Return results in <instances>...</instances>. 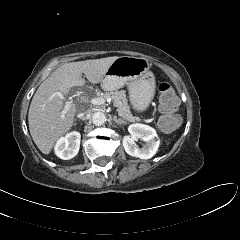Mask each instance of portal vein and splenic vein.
<instances>
[{
    "instance_id": "portal-vein-and-splenic-vein-1",
    "label": "portal vein and splenic vein",
    "mask_w": 240,
    "mask_h": 240,
    "mask_svg": "<svg viewBox=\"0 0 240 240\" xmlns=\"http://www.w3.org/2000/svg\"><path fill=\"white\" fill-rule=\"evenodd\" d=\"M55 95L59 96L61 99H64V96L62 93L60 92H56ZM110 102V99H107L105 100L104 98L102 97H95V98H92L90 100L91 104L93 105H103L105 102ZM71 105V102H68L65 106V109L62 111V116H64V114L66 113V111L68 110V108L70 107Z\"/></svg>"
}]
</instances>
